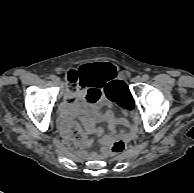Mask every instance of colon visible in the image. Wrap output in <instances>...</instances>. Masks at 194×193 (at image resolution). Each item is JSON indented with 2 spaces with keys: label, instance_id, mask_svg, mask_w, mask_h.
I'll list each match as a JSON object with an SVG mask.
<instances>
[{
  "label": "colon",
  "instance_id": "obj_1",
  "mask_svg": "<svg viewBox=\"0 0 194 193\" xmlns=\"http://www.w3.org/2000/svg\"><path fill=\"white\" fill-rule=\"evenodd\" d=\"M65 79L68 83V88L71 91H75L80 87L79 74L76 71H69ZM124 87L121 81H114L107 85L106 94L111 100L115 99V92L121 90ZM126 148V144L122 139L114 140L109 146L110 154L116 155L122 153Z\"/></svg>",
  "mask_w": 194,
  "mask_h": 193
}]
</instances>
